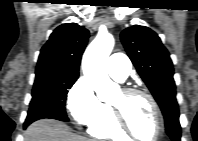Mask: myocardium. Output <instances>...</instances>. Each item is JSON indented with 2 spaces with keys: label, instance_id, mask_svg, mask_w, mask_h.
I'll return each instance as SVG.
<instances>
[{
  "label": "myocardium",
  "instance_id": "1",
  "mask_svg": "<svg viewBox=\"0 0 198 141\" xmlns=\"http://www.w3.org/2000/svg\"><path fill=\"white\" fill-rule=\"evenodd\" d=\"M121 92L127 96L141 95L148 99V101L150 102V104L153 108V111L155 114V119H156V126H157L156 134L153 137V139H151L150 141L159 140L163 131H164V122H163V117H162L160 107H159L156 99L153 97V95H151L149 92H147L143 89H140V88H124L121 90ZM110 107L113 112L114 121H115L116 125L118 126V128L124 134H126L128 137H131V138H134L137 140H141V138H139L130 128L123 111L113 104H110Z\"/></svg>",
  "mask_w": 198,
  "mask_h": 141
}]
</instances>
